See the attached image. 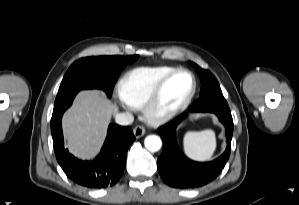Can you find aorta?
<instances>
[{"mask_svg": "<svg viewBox=\"0 0 299 205\" xmlns=\"http://www.w3.org/2000/svg\"><path fill=\"white\" fill-rule=\"evenodd\" d=\"M145 147L152 152L158 151L162 146V141L158 136L150 135L145 138Z\"/></svg>", "mask_w": 299, "mask_h": 205, "instance_id": "1", "label": "aorta"}]
</instances>
